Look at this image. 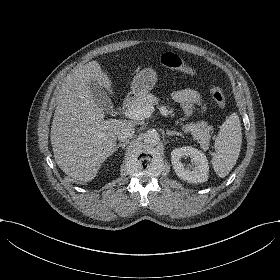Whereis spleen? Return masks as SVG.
I'll use <instances>...</instances> for the list:
<instances>
[{
  "instance_id": "obj_1",
  "label": "spleen",
  "mask_w": 280,
  "mask_h": 280,
  "mask_svg": "<svg viewBox=\"0 0 280 280\" xmlns=\"http://www.w3.org/2000/svg\"><path fill=\"white\" fill-rule=\"evenodd\" d=\"M242 145V128L239 117L233 113L223 123L215 139V151L211 163L215 173L224 178L237 162Z\"/></svg>"
}]
</instances>
